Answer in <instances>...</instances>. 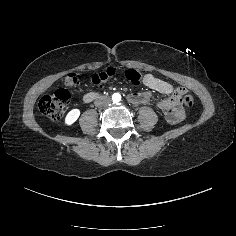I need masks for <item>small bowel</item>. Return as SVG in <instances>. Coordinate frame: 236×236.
I'll use <instances>...</instances> for the list:
<instances>
[{
	"instance_id": "small-bowel-1",
	"label": "small bowel",
	"mask_w": 236,
	"mask_h": 236,
	"mask_svg": "<svg viewBox=\"0 0 236 236\" xmlns=\"http://www.w3.org/2000/svg\"><path fill=\"white\" fill-rule=\"evenodd\" d=\"M146 85H148L150 87H159L160 86L158 83H156L155 81H153L151 79L146 80Z\"/></svg>"
}]
</instances>
